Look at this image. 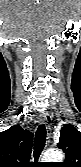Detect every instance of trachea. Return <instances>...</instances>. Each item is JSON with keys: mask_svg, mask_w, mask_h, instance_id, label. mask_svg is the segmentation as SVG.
Returning a JSON list of instances; mask_svg holds the SVG:
<instances>
[{"mask_svg": "<svg viewBox=\"0 0 81 167\" xmlns=\"http://www.w3.org/2000/svg\"><path fill=\"white\" fill-rule=\"evenodd\" d=\"M45 142H46V127L43 124L38 126L35 134L33 155L36 161L39 159V156L41 155V152L45 147Z\"/></svg>", "mask_w": 81, "mask_h": 167, "instance_id": "obj_1", "label": "trachea"}]
</instances>
